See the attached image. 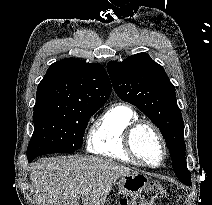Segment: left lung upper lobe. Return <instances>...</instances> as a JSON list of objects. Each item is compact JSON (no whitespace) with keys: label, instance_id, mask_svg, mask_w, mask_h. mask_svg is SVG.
I'll use <instances>...</instances> for the list:
<instances>
[{"label":"left lung upper lobe","instance_id":"left-lung-upper-lobe-1","mask_svg":"<svg viewBox=\"0 0 212 205\" xmlns=\"http://www.w3.org/2000/svg\"><path fill=\"white\" fill-rule=\"evenodd\" d=\"M113 88L124 101L139 108L160 130L169 149L176 177L191 185L185 158L184 122L175 87L163 67L146 53L107 64Z\"/></svg>","mask_w":212,"mask_h":205}]
</instances>
